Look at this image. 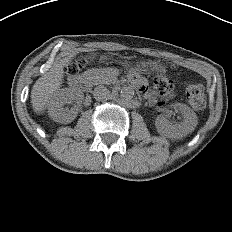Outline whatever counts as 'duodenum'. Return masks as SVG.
<instances>
[{
	"mask_svg": "<svg viewBox=\"0 0 232 232\" xmlns=\"http://www.w3.org/2000/svg\"><path fill=\"white\" fill-rule=\"evenodd\" d=\"M88 84L89 78L87 76H81L73 81V86L79 90L86 88Z\"/></svg>",
	"mask_w": 232,
	"mask_h": 232,
	"instance_id": "duodenum-1",
	"label": "duodenum"
}]
</instances>
